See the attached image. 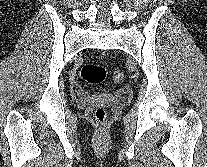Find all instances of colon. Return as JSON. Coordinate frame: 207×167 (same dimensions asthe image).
Masks as SVG:
<instances>
[{"label": "colon", "instance_id": "1", "mask_svg": "<svg viewBox=\"0 0 207 167\" xmlns=\"http://www.w3.org/2000/svg\"><path fill=\"white\" fill-rule=\"evenodd\" d=\"M107 75V70L96 64H85L81 69V77L87 83L91 85H98L102 83ZM124 73L122 71H116L113 75V81L119 82L123 79ZM95 119L99 123H103L106 120V110L103 107H98L95 110Z\"/></svg>", "mask_w": 207, "mask_h": 167}]
</instances>
